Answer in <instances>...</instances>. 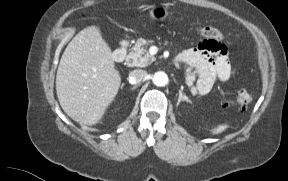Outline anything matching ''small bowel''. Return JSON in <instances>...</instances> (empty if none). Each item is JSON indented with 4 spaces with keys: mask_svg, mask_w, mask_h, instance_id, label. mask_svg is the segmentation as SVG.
I'll return each instance as SVG.
<instances>
[{
    "mask_svg": "<svg viewBox=\"0 0 288 181\" xmlns=\"http://www.w3.org/2000/svg\"><path fill=\"white\" fill-rule=\"evenodd\" d=\"M209 54L211 50L208 47L195 48L190 51V57L195 61L199 72V85L202 89H209L213 86L215 74L223 80L229 76L228 58L218 52L213 64L209 61Z\"/></svg>",
    "mask_w": 288,
    "mask_h": 181,
    "instance_id": "c3829d8e",
    "label": "small bowel"
}]
</instances>
